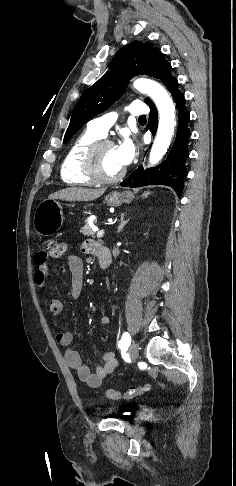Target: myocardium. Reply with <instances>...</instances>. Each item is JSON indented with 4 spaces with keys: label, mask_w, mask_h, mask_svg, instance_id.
Returning <instances> with one entry per match:
<instances>
[{
    "label": "myocardium",
    "mask_w": 236,
    "mask_h": 486,
    "mask_svg": "<svg viewBox=\"0 0 236 486\" xmlns=\"http://www.w3.org/2000/svg\"><path fill=\"white\" fill-rule=\"evenodd\" d=\"M106 146H114V143L111 140L101 138L92 142L83 153L82 171L94 183L113 184L120 181L126 173V170L122 169L115 176L103 175L99 167V153Z\"/></svg>",
    "instance_id": "1"
}]
</instances>
